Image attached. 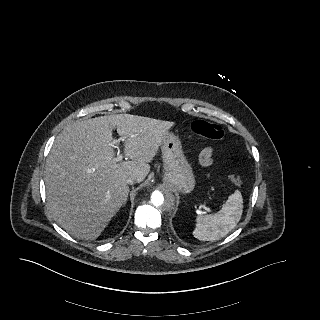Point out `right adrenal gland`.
<instances>
[{"mask_svg": "<svg viewBox=\"0 0 320 320\" xmlns=\"http://www.w3.org/2000/svg\"><path fill=\"white\" fill-rule=\"evenodd\" d=\"M126 201H127V199H125V201H124L123 205H126Z\"/></svg>", "mask_w": 320, "mask_h": 320, "instance_id": "obj_1", "label": "right adrenal gland"}]
</instances>
